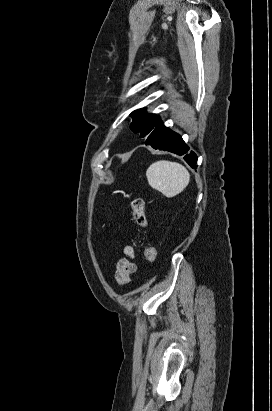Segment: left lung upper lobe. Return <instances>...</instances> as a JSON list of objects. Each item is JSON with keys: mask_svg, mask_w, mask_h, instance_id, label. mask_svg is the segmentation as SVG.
I'll list each match as a JSON object with an SVG mask.
<instances>
[{"mask_svg": "<svg viewBox=\"0 0 272 411\" xmlns=\"http://www.w3.org/2000/svg\"><path fill=\"white\" fill-rule=\"evenodd\" d=\"M130 116L133 119L130 128L133 132L140 133V137L148 136L163 126L159 116L147 114L144 109L135 110Z\"/></svg>", "mask_w": 272, "mask_h": 411, "instance_id": "5c2ea615", "label": "left lung upper lobe"}]
</instances>
